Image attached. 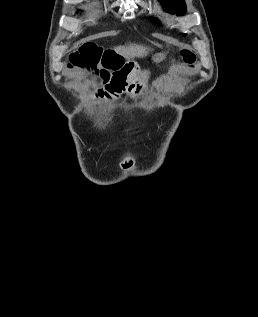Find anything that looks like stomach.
Here are the masks:
<instances>
[{
    "label": "stomach",
    "instance_id": "obj_1",
    "mask_svg": "<svg viewBox=\"0 0 258 317\" xmlns=\"http://www.w3.org/2000/svg\"><path fill=\"white\" fill-rule=\"evenodd\" d=\"M163 56H155L154 60H162ZM136 64V62H135Z\"/></svg>",
    "mask_w": 258,
    "mask_h": 317
}]
</instances>
